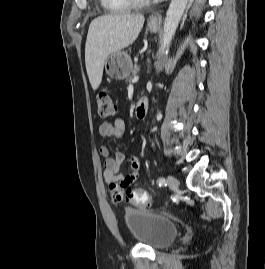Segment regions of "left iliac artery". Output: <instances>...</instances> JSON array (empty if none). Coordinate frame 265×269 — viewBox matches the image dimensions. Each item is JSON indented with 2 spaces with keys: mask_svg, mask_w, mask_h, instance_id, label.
<instances>
[{
  "mask_svg": "<svg viewBox=\"0 0 265 269\" xmlns=\"http://www.w3.org/2000/svg\"><path fill=\"white\" fill-rule=\"evenodd\" d=\"M158 184H159V186H164V185H166V180H165V178H163V177L159 178V179H158Z\"/></svg>",
  "mask_w": 265,
  "mask_h": 269,
  "instance_id": "left-iliac-artery-1",
  "label": "left iliac artery"
}]
</instances>
